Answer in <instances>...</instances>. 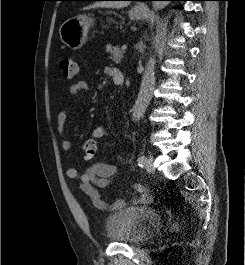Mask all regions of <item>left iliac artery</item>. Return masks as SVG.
<instances>
[{"instance_id": "44dca946", "label": "left iliac artery", "mask_w": 245, "mask_h": 265, "mask_svg": "<svg viewBox=\"0 0 245 265\" xmlns=\"http://www.w3.org/2000/svg\"><path fill=\"white\" fill-rule=\"evenodd\" d=\"M146 161V157L145 156H141L137 159L138 165L143 167Z\"/></svg>"}]
</instances>
